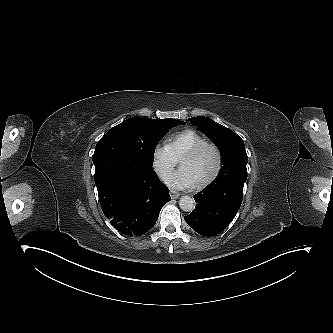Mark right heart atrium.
Returning <instances> with one entry per match:
<instances>
[{
	"mask_svg": "<svg viewBox=\"0 0 333 333\" xmlns=\"http://www.w3.org/2000/svg\"><path fill=\"white\" fill-rule=\"evenodd\" d=\"M153 168L165 180L171 175L177 165V160L165 146L155 148L153 155Z\"/></svg>",
	"mask_w": 333,
	"mask_h": 333,
	"instance_id": "right-heart-atrium-1",
	"label": "right heart atrium"
}]
</instances>
